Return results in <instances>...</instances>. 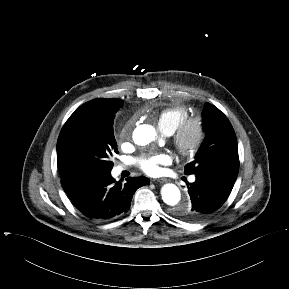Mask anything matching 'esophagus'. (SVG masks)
<instances>
[{
  "label": "esophagus",
  "mask_w": 289,
  "mask_h": 289,
  "mask_svg": "<svg viewBox=\"0 0 289 289\" xmlns=\"http://www.w3.org/2000/svg\"><path fill=\"white\" fill-rule=\"evenodd\" d=\"M153 181H154V182H158V183H165V182H167V179H165V178H158V179H154Z\"/></svg>",
  "instance_id": "34e87169"
}]
</instances>
